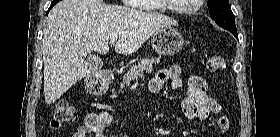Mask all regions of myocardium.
<instances>
[{
  "label": "myocardium",
  "instance_id": "1",
  "mask_svg": "<svg viewBox=\"0 0 280 137\" xmlns=\"http://www.w3.org/2000/svg\"><path fill=\"white\" fill-rule=\"evenodd\" d=\"M202 5H203V0H197L196 4L192 7L175 8V7L169 6L167 4H162V7L164 9H166L172 13H176V14H191V13H194V12H197L198 10H200Z\"/></svg>",
  "mask_w": 280,
  "mask_h": 137
}]
</instances>
